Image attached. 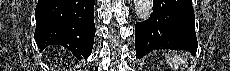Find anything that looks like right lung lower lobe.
<instances>
[{"label": "right lung lower lobe", "mask_w": 230, "mask_h": 71, "mask_svg": "<svg viewBox=\"0 0 230 71\" xmlns=\"http://www.w3.org/2000/svg\"><path fill=\"white\" fill-rule=\"evenodd\" d=\"M95 0H38L34 38L42 51L49 45L69 49L79 60L92 51Z\"/></svg>", "instance_id": "1"}]
</instances>
